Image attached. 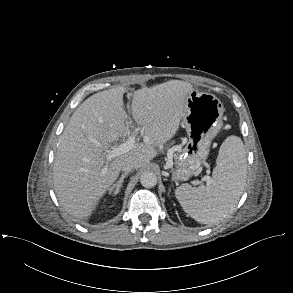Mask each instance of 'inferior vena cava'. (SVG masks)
<instances>
[{"label":"inferior vena cava","mask_w":293,"mask_h":293,"mask_svg":"<svg viewBox=\"0 0 293 293\" xmlns=\"http://www.w3.org/2000/svg\"><path fill=\"white\" fill-rule=\"evenodd\" d=\"M135 165L131 160H126L123 162L122 166H121V170L125 173H129L130 171H132L134 169Z\"/></svg>","instance_id":"1"}]
</instances>
